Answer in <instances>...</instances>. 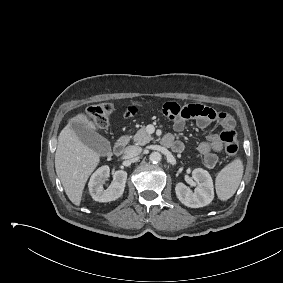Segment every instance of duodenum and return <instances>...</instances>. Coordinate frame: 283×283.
<instances>
[{"label": "duodenum", "instance_id": "duodenum-1", "mask_svg": "<svg viewBox=\"0 0 283 283\" xmlns=\"http://www.w3.org/2000/svg\"><path fill=\"white\" fill-rule=\"evenodd\" d=\"M127 143H128V139L126 136L120 137L114 145V149H113L114 154L116 156H121L127 146Z\"/></svg>", "mask_w": 283, "mask_h": 283}]
</instances>
